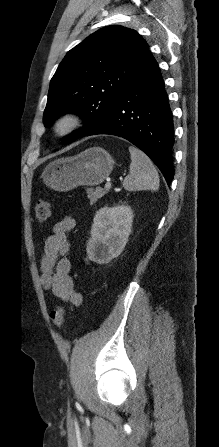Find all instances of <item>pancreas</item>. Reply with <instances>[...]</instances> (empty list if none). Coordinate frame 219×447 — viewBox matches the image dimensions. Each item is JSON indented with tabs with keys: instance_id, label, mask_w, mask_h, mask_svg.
<instances>
[{
	"instance_id": "pancreas-1",
	"label": "pancreas",
	"mask_w": 219,
	"mask_h": 447,
	"mask_svg": "<svg viewBox=\"0 0 219 447\" xmlns=\"http://www.w3.org/2000/svg\"><path fill=\"white\" fill-rule=\"evenodd\" d=\"M108 192L107 189H103L101 187H97L96 190L87 189L88 198L90 199V203L94 204L98 199L102 198Z\"/></svg>"
}]
</instances>
